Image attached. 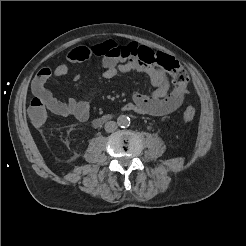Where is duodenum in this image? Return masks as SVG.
I'll return each mask as SVG.
<instances>
[{"label": "duodenum", "instance_id": "duodenum-1", "mask_svg": "<svg viewBox=\"0 0 246 246\" xmlns=\"http://www.w3.org/2000/svg\"><path fill=\"white\" fill-rule=\"evenodd\" d=\"M109 119H110L109 116H103V117H101V118L96 119V120H95V124H96V125H100V124H102V123L108 121Z\"/></svg>", "mask_w": 246, "mask_h": 246}]
</instances>
